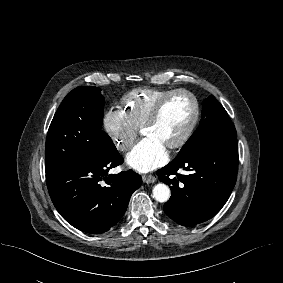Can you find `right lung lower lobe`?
<instances>
[{
    "instance_id": "obj_1",
    "label": "right lung lower lobe",
    "mask_w": 283,
    "mask_h": 283,
    "mask_svg": "<svg viewBox=\"0 0 283 283\" xmlns=\"http://www.w3.org/2000/svg\"><path fill=\"white\" fill-rule=\"evenodd\" d=\"M122 163L113 146L92 159L46 174L50 197L61 216L88 233H103L114 226L142 182L141 176L132 170L108 174Z\"/></svg>"
}]
</instances>
